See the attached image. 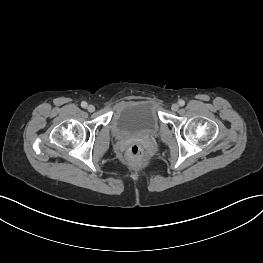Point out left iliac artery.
Here are the masks:
<instances>
[{
	"label": "left iliac artery",
	"mask_w": 263,
	"mask_h": 263,
	"mask_svg": "<svg viewBox=\"0 0 263 263\" xmlns=\"http://www.w3.org/2000/svg\"><path fill=\"white\" fill-rule=\"evenodd\" d=\"M178 103H179L180 106H184L185 105V101L184 100H179Z\"/></svg>",
	"instance_id": "44dca946"
}]
</instances>
